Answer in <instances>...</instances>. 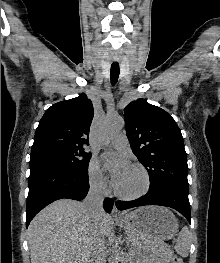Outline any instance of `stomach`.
<instances>
[{
  "instance_id": "0dacf381",
  "label": "stomach",
  "mask_w": 220,
  "mask_h": 263,
  "mask_svg": "<svg viewBox=\"0 0 220 263\" xmlns=\"http://www.w3.org/2000/svg\"><path fill=\"white\" fill-rule=\"evenodd\" d=\"M117 222L135 237L138 248L152 249L153 243L173 238L178 232V222L174 214L161 206H144L126 212Z\"/></svg>"
}]
</instances>
